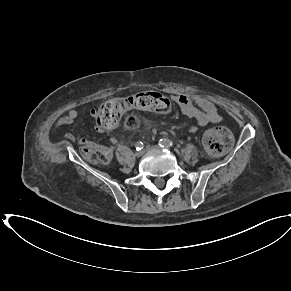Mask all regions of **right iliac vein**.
<instances>
[{
  "instance_id": "63e3f726",
  "label": "right iliac vein",
  "mask_w": 291,
  "mask_h": 291,
  "mask_svg": "<svg viewBox=\"0 0 291 291\" xmlns=\"http://www.w3.org/2000/svg\"><path fill=\"white\" fill-rule=\"evenodd\" d=\"M141 155H142V152H135V154H134V156L137 157V158L141 157Z\"/></svg>"
}]
</instances>
